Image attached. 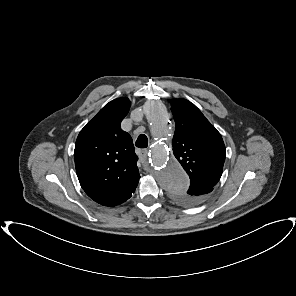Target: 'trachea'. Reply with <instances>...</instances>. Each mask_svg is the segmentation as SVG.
<instances>
[{"label":"trachea","mask_w":296,"mask_h":296,"mask_svg":"<svg viewBox=\"0 0 296 296\" xmlns=\"http://www.w3.org/2000/svg\"><path fill=\"white\" fill-rule=\"evenodd\" d=\"M135 145L138 148H147V146H148L147 136L144 134L139 135L136 142H135Z\"/></svg>","instance_id":"3493384b"}]
</instances>
